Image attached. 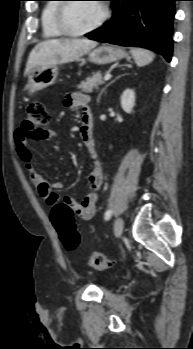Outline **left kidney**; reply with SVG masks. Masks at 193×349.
<instances>
[{
    "label": "left kidney",
    "mask_w": 193,
    "mask_h": 349,
    "mask_svg": "<svg viewBox=\"0 0 193 349\" xmlns=\"http://www.w3.org/2000/svg\"><path fill=\"white\" fill-rule=\"evenodd\" d=\"M135 105V93L132 89H126L121 96V107L126 113H131Z\"/></svg>",
    "instance_id": "left-kidney-1"
}]
</instances>
